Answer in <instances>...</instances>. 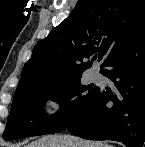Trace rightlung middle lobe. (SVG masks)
<instances>
[{
  "mask_svg": "<svg viewBox=\"0 0 145 147\" xmlns=\"http://www.w3.org/2000/svg\"><path fill=\"white\" fill-rule=\"evenodd\" d=\"M81 76L71 77L56 87H35L15 92L3 138L15 140L66 129L98 89L93 83L82 85ZM49 98L60 102V109L46 117L43 106Z\"/></svg>",
  "mask_w": 145,
  "mask_h": 147,
  "instance_id": "obj_1",
  "label": "right lung middle lobe"
}]
</instances>
